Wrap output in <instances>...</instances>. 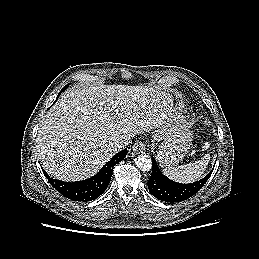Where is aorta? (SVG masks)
Returning <instances> with one entry per match:
<instances>
[{
    "instance_id": "aorta-1",
    "label": "aorta",
    "mask_w": 259,
    "mask_h": 259,
    "mask_svg": "<svg viewBox=\"0 0 259 259\" xmlns=\"http://www.w3.org/2000/svg\"><path fill=\"white\" fill-rule=\"evenodd\" d=\"M135 164L141 171H149L152 168V160L146 154L138 155L135 159Z\"/></svg>"
}]
</instances>
